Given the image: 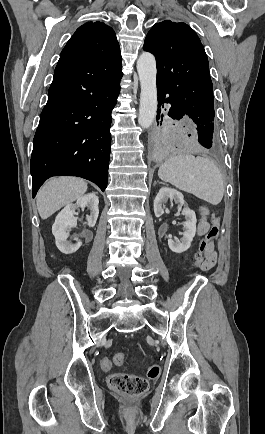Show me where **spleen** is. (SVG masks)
Masks as SVG:
<instances>
[{"label":"spleen","instance_id":"1","mask_svg":"<svg viewBox=\"0 0 265 434\" xmlns=\"http://www.w3.org/2000/svg\"><path fill=\"white\" fill-rule=\"evenodd\" d=\"M163 182H169L183 192L194 194L213 206L220 204L224 196L222 174L210 158L181 154L165 160L158 170Z\"/></svg>","mask_w":265,"mask_h":434}]
</instances>
